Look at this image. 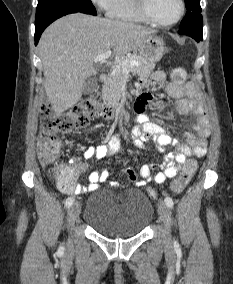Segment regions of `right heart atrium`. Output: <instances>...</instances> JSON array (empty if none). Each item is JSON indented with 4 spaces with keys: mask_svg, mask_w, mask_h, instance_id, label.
Masks as SVG:
<instances>
[{
    "mask_svg": "<svg viewBox=\"0 0 233 284\" xmlns=\"http://www.w3.org/2000/svg\"><path fill=\"white\" fill-rule=\"evenodd\" d=\"M101 10H107L111 0H91Z\"/></svg>",
    "mask_w": 233,
    "mask_h": 284,
    "instance_id": "right-heart-atrium-1",
    "label": "right heart atrium"
}]
</instances>
